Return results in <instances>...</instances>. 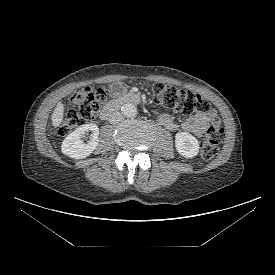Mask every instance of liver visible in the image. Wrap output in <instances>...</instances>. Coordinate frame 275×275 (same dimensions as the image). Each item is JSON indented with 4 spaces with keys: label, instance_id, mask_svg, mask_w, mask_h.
<instances>
[{
    "label": "liver",
    "instance_id": "obj_1",
    "mask_svg": "<svg viewBox=\"0 0 275 275\" xmlns=\"http://www.w3.org/2000/svg\"><path fill=\"white\" fill-rule=\"evenodd\" d=\"M63 116H64V105L61 102H59L56 105V107L52 113V116H51L52 126L55 128L60 126V124L63 121Z\"/></svg>",
    "mask_w": 275,
    "mask_h": 275
}]
</instances>
